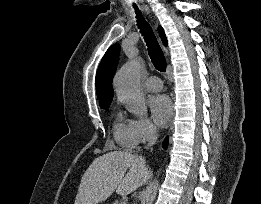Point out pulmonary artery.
<instances>
[{"instance_id": "obj_1", "label": "pulmonary artery", "mask_w": 261, "mask_h": 204, "mask_svg": "<svg viewBox=\"0 0 261 204\" xmlns=\"http://www.w3.org/2000/svg\"><path fill=\"white\" fill-rule=\"evenodd\" d=\"M145 87L149 91H154L158 92L161 91L163 88L162 81L156 77V76H151L145 80Z\"/></svg>"}]
</instances>
